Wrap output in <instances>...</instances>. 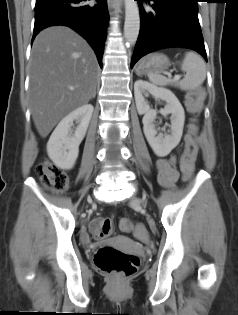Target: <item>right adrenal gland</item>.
<instances>
[{"instance_id": "right-adrenal-gland-1", "label": "right adrenal gland", "mask_w": 238, "mask_h": 315, "mask_svg": "<svg viewBox=\"0 0 238 315\" xmlns=\"http://www.w3.org/2000/svg\"><path fill=\"white\" fill-rule=\"evenodd\" d=\"M95 95H96V92L94 93L93 98L95 97Z\"/></svg>"}]
</instances>
